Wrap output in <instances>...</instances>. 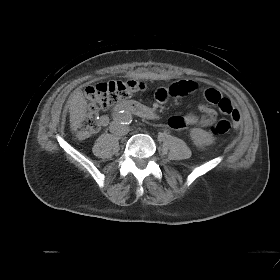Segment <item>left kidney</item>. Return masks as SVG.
<instances>
[{
    "label": "left kidney",
    "instance_id": "5707ae66",
    "mask_svg": "<svg viewBox=\"0 0 280 280\" xmlns=\"http://www.w3.org/2000/svg\"><path fill=\"white\" fill-rule=\"evenodd\" d=\"M190 136L194 144L198 147H203L214 143V137L210 133L200 128L192 129L190 131Z\"/></svg>",
    "mask_w": 280,
    "mask_h": 280
}]
</instances>
